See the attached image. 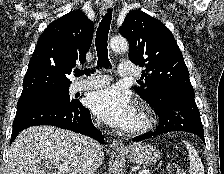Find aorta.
<instances>
[{
  "label": "aorta",
  "instance_id": "1",
  "mask_svg": "<svg viewBox=\"0 0 224 174\" xmlns=\"http://www.w3.org/2000/svg\"><path fill=\"white\" fill-rule=\"evenodd\" d=\"M110 47L114 52H123L128 48V42L123 37H114L110 41Z\"/></svg>",
  "mask_w": 224,
  "mask_h": 174
}]
</instances>
